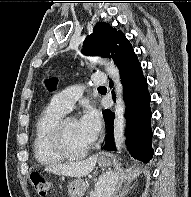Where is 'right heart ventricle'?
Returning a JSON list of instances; mask_svg holds the SVG:
<instances>
[{"label": "right heart ventricle", "mask_w": 191, "mask_h": 197, "mask_svg": "<svg viewBox=\"0 0 191 197\" xmlns=\"http://www.w3.org/2000/svg\"><path fill=\"white\" fill-rule=\"evenodd\" d=\"M65 113L51 101L35 123L32 147L35 159L41 165H55L64 161L53 147L51 136L53 128Z\"/></svg>", "instance_id": "e07e8e85"}]
</instances>
